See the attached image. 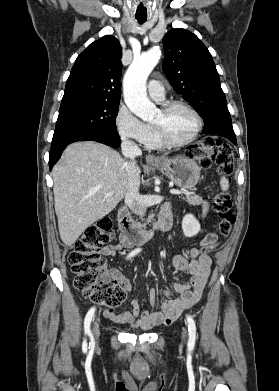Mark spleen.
<instances>
[{"label": "spleen", "mask_w": 279, "mask_h": 391, "mask_svg": "<svg viewBox=\"0 0 279 391\" xmlns=\"http://www.w3.org/2000/svg\"><path fill=\"white\" fill-rule=\"evenodd\" d=\"M220 186L222 190L226 191L229 188V182L225 177H222L220 180Z\"/></svg>", "instance_id": "1"}]
</instances>
